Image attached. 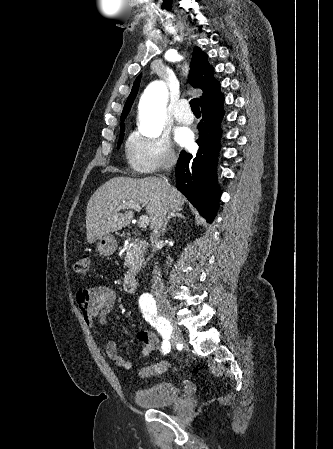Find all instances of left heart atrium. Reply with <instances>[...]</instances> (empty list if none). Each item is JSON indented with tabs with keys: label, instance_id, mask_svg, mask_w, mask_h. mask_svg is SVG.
<instances>
[{
	"label": "left heart atrium",
	"instance_id": "39dd6f15",
	"mask_svg": "<svg viewBox=\"0 0 333 449\" xmlns=\"http://www.w3.org/2000/svg\"><path fill=\"white\" fill-rule=\"evenodd\" d=\"M176 139L179 144L188 145L192 141V134L189 131H181Z\"/></svg>",
	"mask_w": 333,
	"mask_h": 449
}]
</instances>
